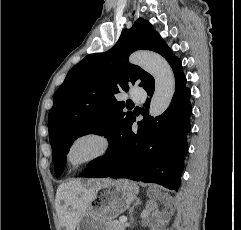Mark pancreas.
I'll use <instances>...</instances> for the list:
<instances>
[{
    "instance_id": "cf45deb5",
    "label": "pancreas",
    "mask_w": 241,
    "mask_h": 230,
    "mask_svg": "<svg viewBox=\"0 0 241 230\" xmlns=\"http://www.w3.org/2000/svg\"><path fill=\"white\" fill-rule=\"evenodd\" d=\"M110 230H125L126 226L123 222L113 220L109 223Z\"/></svg>"
}]
</instances>
